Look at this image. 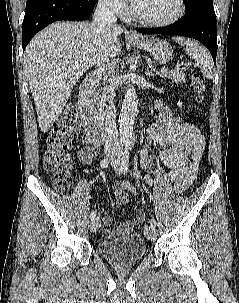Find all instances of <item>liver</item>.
<instances>
[{
    "label": "liver",
    "instance_id": "liver-1",
    "mask_svg": "<svg viewBox=\"0 0 239 303\" xmlns=\"http://www.w3.org/2000/svg\"><path fill=\"white\" fill-rule=\"evenodd\" d=\"M123 29L89 22H55L37 33L24 52V73L46 133L62 112L72 89L93 64L117 56Z\"/></svg>",
    "mask_w": 239,
    "mask_h": 303
}]
</instances>
